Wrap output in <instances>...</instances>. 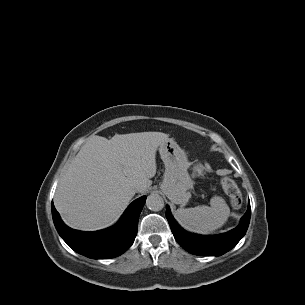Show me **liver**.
<instances>
[{
  "label": "liver",
  "mask_w": 305,
  "mask_h": 305,
  "mask_svg": "<svg viewBox=\"0 0 305 305\" xmlns=\"http://www.w3.org/2000/svg\"><path fill=\"white\" fill-rule=\"evenodd\" d=\"M168 135L141 132L91 136L60 179L54 205L74 229L94 231L115 223L135 193L156 174V151ZM140 188L135 191L133 187Z\"/></svg>",
  "instance_id": "liver-1"
}]
</instances>
